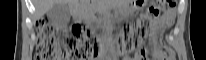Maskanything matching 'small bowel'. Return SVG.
<instances>
[{
	"instance_id": "c3829d8e",
	"label": "small bowel",
	"mask_w": 206,
	"mask_h": 60,
	"mask_svg": "<svg viewBox=\"0 0 206 60\" xmlns=\"http://www.w3.org/2000/svg\"><path fill=\"white\" fill-rule=\"evenodd\" d=\"M160 24H157V30L160 29ZM153 59L155 60H173L172 54H167L166 49H164L161 46H155L154 51H153ZM126 60H141V58H136V59H130V58H125Z\"/></svg>"
}]
</instances>
